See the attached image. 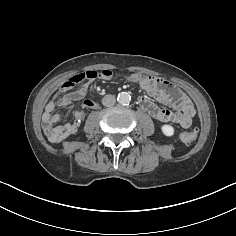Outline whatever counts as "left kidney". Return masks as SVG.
Masks as SVG:
<instances>
[{
    "instance_id": "obj_1",
    "label": "left kidney",
    "mask_w": 236,
    "mask_h": 236,
    "mask_svg": "<svg viewBox=\"0 0 236 236\" xmlns=\"http://www.w3.org/2000/svg\"><path fill=\"white\" fill-rule=\"evenodd\" d=\"M161 131L165 136H172L174 134V128L171 125L165 124L161 126Z\"/></svg>"
}]
</instances>
